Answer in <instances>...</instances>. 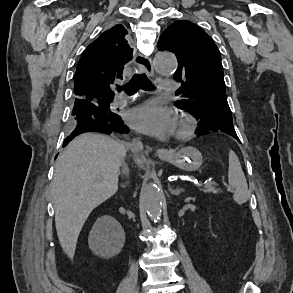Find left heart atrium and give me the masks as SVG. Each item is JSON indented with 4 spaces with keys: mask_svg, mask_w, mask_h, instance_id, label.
<instances>
[{
    "mask_svg": "<svg viewBox=\"0 0 293 293\" xmlns=\"http://www.w3.org/2000/svg\"><path fill=\"white\" fill-rule=\"evenodd\" d=\"M126 119L134 129L153 136L167 135L174 128L171 110L154 101L132 108Z\"/></svg>",
    "mask_w": 293,
    "mask_h": 293,
    "instance_id": "left-heart-atrium-1",
    "label": "left heart atrium"
}]
</instances>
